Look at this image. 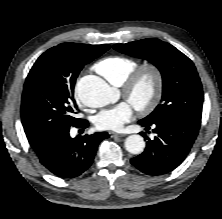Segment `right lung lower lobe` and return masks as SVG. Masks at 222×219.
<instances>
[{
	"label": "right lung lower lobe",
	"mask_w": 222,
	"mask_h": 219,
	"mask_svg": "<svg viewBox=\"0 0 222 219\" xmlns=\"http://www.w3.org/2000/svg\"><path fill=\"white\" fill-rule=\"evenodd\" d=\"M73 126L86 128L88 121L80 119ZM69 131L70 128L59 131L35 151L41 164L61 178H74L85 172L93 162L98 144L109 138L107 132L71 138Z\"/></svg>",
	"instance_id": "right-lung-lower-lobe-1"
}]
</instances>
